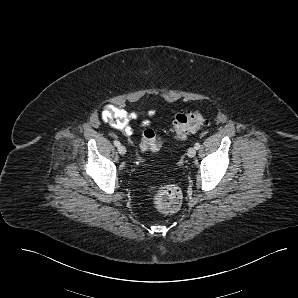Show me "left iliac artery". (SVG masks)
<instances>
[{"instance_id": "44dca946", "label": "left iliac artery", "mask_w": 298, "mask_h": 298, "mask_svg": "<svg viewBox=\"0 0 298 298\" xmlns=\"http://www.w3.org/2000/svg\"><path fill=\"white\" fill-rule=\"evenodd\" d=\"M200 146H201L200 143H196L194 147L196 150H198L200 148Z\"/></svg>"}]
</instances>
